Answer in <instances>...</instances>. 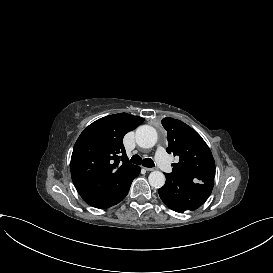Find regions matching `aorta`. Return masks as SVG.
I'll use <instances>...</instances> for the list:
<instances>
[{
  "label": "aorta",
  "instance_id": "762f6f07",
  "mask_svg": "<svg viewBox=\"0 0 273 273\" xmlns=\"http://www.w3.org/2000/svg\"><path fill=\"white\" fill-rule=\"evenodd\" d=\"M137 144L142 148H152L157 142V132L149 125H142L135 133ZM149 184L154 188H161L165 184V176L160 171H153L148 177Z\"/></svg>",
  "mask_w": 273,
  "mask_h": 273
}]
</instances>
